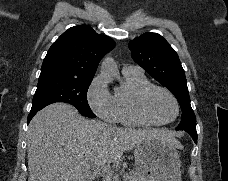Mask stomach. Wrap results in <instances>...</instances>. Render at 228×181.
<instances>
[{
	"label": "stomach",
	"mask_w": 228,
	"mask_h": 181,
	"mask_svg": "<svg viewBox=\"0 0 228 181\" xmlns=\"http://www.w3.org/2000/svg\"><path fill=\"white\" fill-rule=\"evenodd\" d=\"M135 169L141 181H181L179 151L159 135H151L134 149Z\"/></svg>",
	"instance_id": "stomach-1"
}]
</instances>
